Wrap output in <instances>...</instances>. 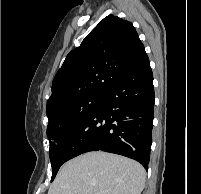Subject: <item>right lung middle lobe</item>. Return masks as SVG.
Segmentation results:
<instances>
[{"mask_svg":"<svg viewBox=\"0 0 201 194\" xmlns=\"http://www.w3.org/2000/svg\"><path fill=\"white\" fill-rule=\"evenodd\" d=\"M103 95L84 97L70 102L47 114L49 123L47 127V136L50 141V160L52 163V179L60 167L58 159L55 156L56 151L61 146L65 136L89 116L100 104Z\"/></svg>","mask_w":201,"mask_h":194,"instance_id":"right-lung-middle-lobe-1","label":"right lung middle lobe"}]
</instances>
